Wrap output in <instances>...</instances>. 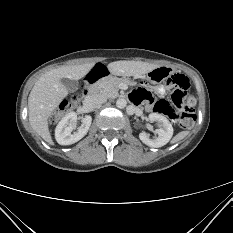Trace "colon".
I'll return each mask as SVG.
<instances>
[{"label":"colon","instance_id":"colon-1","mask_svg":"<svg viewBox=\"0 0 233 233\" xmlns=\"http://www.w3.org/2000/svg\"><path fill=\"white\" fill-rule=\"evenodd\" d=\"M167 84L176 88L172 94L171 103L165 100H152L151 105L153 110L176 121L183 129L191 128L196 119V101L193 96L187 93L189 87L188 78L183 74H173L168 78ZM82 97V92L71 94L69 98L61 104L60 108L53 113L50 118L51 122L55 123L64 113L77 107Z\"/></svg>","mask_w":233,"mask_h":233}]
</instances>
